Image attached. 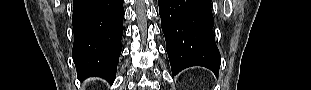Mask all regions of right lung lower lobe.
Returning a JSON list of instances; mask_svg holds the SVG:
<instances>
[{"instance_id":"1","label":"right lung lower lobe","mask_w":311,"mask_h":90,"mask_svg":"<svg viewBox=\"0 0 311 90\" xmlns=\"http://www.w3.org/2000/svg\"><path fill=\"white\" fill-rule=\"evenodd\" d=\"M123 0H73V60L78 78L113 82L121 54Z\"/></svg>"}]
</instances>
